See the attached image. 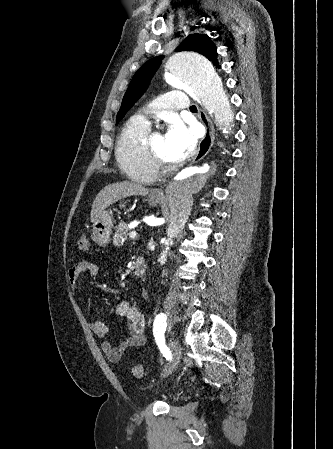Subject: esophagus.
<instances>
[{
	"label": "esophagus",
	"instance_id": "1",
	"mask_svg": "<svg viewBox=\"0 0 333 449\" xmlns=\"http://www.w3.org/2000/svg\"><path fill=\"white\" fill-rule=\"evenodd\" d=\"M199 116H200L201 122L204 124V126L206 128V132H205L204 137L200 141L198 152H197L196 156L194 157L193 162H198L206 156V154L209 152V150L213 146L214 139H215L214 125H213L211 119L209 118V116L205 113V111L203 109L199 110ZM152 194H153V196H156V197H163V188L161 187V188L155 189Z\"/></svg>",
	"mask_w": 333,
	"mask_h": 449
}]
</instances>
